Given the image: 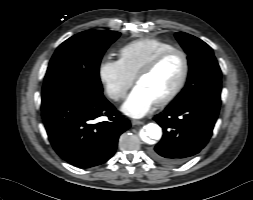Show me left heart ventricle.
I'll use <instances>...</instances> for the list:
<instances>
[{
  "instance_id": "left-heart-ventricle-1",
  "label": "left heart ventricle",
  "mask_w": 253,
  "mask_h": 200,
  "mask_svg": "<svg viewBox=\"0 0 253 200\" xmlns=\"http://www.w3.org/2000/svg\"><path fill=\"white\" fill-rule=\"evenodd\" d=\"M182 71V58L175 54L163 61L153 73L139 79L137 85L143 87L157 102L176 86Z\"/></svg>"
}]
</instances>
